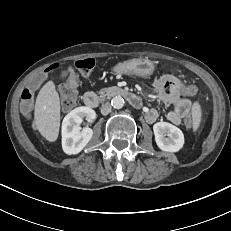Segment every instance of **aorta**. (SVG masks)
<instances>
[{
  "mask_svg": "<svg viewBox=\"0 0 231 231\" xmlns=\"http://www.w3.org/2000/svg\"><path fill=\"white\" fill-rule=\"evenodd\" d=\"M124 103L125 101L121 96H116L111 100V104L115 109H121Z\"/></svg>",
  "mask_w": 231,
  "mask_h": 231,
  "instance_id": "1",
  "label": "aorta"
}]
</instances>
